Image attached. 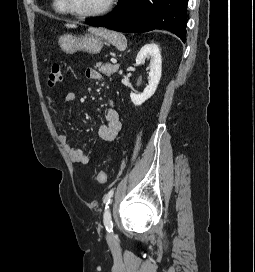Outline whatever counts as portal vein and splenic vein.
<instances>
[{"mask_svg": "<svg viewBox=\"0 0 255 272\" xmlns=\"http://www.w3.org/2000/svg\"><path fill=\"white\" fill-rule=\"evenodd\" d=\"M111 61H112L113 63H116V62H117V60H116V59H114V58H113Z\"/></svg>", "mask_w": 255, "mask_h": 272, "instance_id": "obj_1", "label": "portal vein and splenic vein"}]
</instances>
